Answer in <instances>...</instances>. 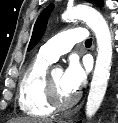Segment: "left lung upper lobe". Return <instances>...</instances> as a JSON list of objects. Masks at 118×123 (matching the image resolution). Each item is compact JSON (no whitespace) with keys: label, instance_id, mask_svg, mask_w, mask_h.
<instances>
[{"label":"left lung upper lobe","instance_id":"left-lung-upper-lobe-1","mask_svg":"<svg viewBox=\"0 0 118 123\" xmlns=\"http://www.w3.org/2000/svg\"><path fill=\"white\" fill-rule=\"evenodd\" d=\"M87 2H90L92 4L98 5V6H102L103 5V1L102 0H86ZM54 9V5L50 4L48 5L40 14V16L38 17V19L36 20V23L34 25V29H33V33H32V37L28 46V51L31 50L41 39V37L44 34L47 22H48V18L52 12V10Z\"/></svg>","mask_w":118,"mask_h":123}]
</instances>
